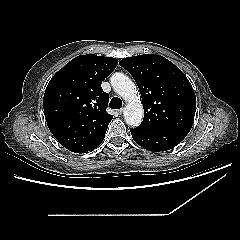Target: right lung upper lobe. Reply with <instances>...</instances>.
I'll use <instances>...</instances> for the list:
<instances>
[{"label":"right lung upper lobe","mask_w":240,"mask_h":240,"mask_svg":"<svg viewBox=\"0 0 240 240\" xmlns=\"http://www.w3.org/2000/svg\"><path fill=\"white\" fill-rule=\"evenodd\" d=\"M118 60L94 54L77 56L50 80L43 99L48 128L74 153H86L104 139L113 115L106 112L109 95L101 88Z\"/></svg>","instance_id":"obj_1"}]
</instances>
